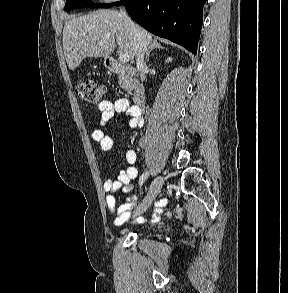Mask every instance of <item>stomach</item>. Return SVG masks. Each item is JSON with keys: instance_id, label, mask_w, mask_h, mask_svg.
Returning <instances> with one entry per match:
<instances>
[{"instance_id": "1", "label": "stomach", "mask_w": 288, "mask_h": 293, "mask_svg": "<svg viewBox=\"0 0 288 293\" xmlns=\"http://www.w3.org/2000/svg\"><path fill=\"white\" fill-rule=\"evenodd\" d=\"M104 65H105V67H107V68L110 67L109 59H108V58H105V60H104Z\"/></svg>"}]
</instances>
